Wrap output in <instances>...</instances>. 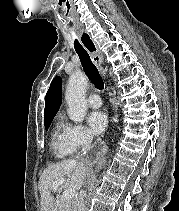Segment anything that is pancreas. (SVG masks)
Returning <instances> with one entry per match:
<instances>
[{
	"label": "pancreas",
	"mask_w": 179,
	"mask_h": 211,
	"mask_svg": "<svg viewBox=\"0 0 179 211\" xmlns=\"http://www.w3.org/2000/svg\"><path fill=\"white\" fill-rule=\"evenodd\" d=\"M57 201L60 211H78L79 202L76 198L65 199L61 196Z\"/></svg>",
	"instance_id": "1"
}]
</instances>
